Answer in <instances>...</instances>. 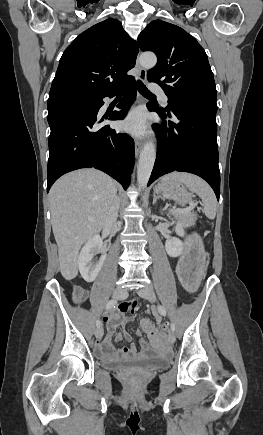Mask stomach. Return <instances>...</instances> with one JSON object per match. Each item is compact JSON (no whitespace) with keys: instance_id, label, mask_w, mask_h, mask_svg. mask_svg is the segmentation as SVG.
<instances>
[{"instance_id":"stomach-1","label":"stomach","mask_w":263,"mask_h":435,"mask_svg":"<svg viewBox=\"0 0 263 435\" xmlns=\"http://www.w3.org/2000/svg\"><path fill=\"white\" fill-rule=\"evenodd\" d=\"M156 191L165 198L181 203L188 202L191 198V193L183 185L172 180H161L156 186ZM184 245L187 247V260H180L178 275L182 280V287L186 288V293L196 294L197 288L204 286V281L200 277L203 274L206 255L200 252H204L205 240L201 233H185Z\"/></svg>"}]
</instances>
